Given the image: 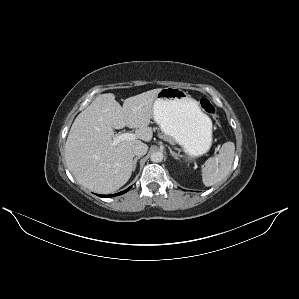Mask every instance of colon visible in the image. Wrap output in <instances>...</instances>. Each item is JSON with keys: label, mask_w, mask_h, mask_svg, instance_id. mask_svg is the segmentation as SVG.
<instances>
[{"label": "colon", "mask_w": 299, "mask_h": 299, "mask_svg": "<svg viewBox=\"0 0 299 299\" xmlns=\"http://www.w3.org/2000/svg\"><path fill=\"white\" fill-rule=\"evenodd\" d=\"M198 102L206 114H208L212 119L217 120L216 109L210 100L207 98H199Z\"/></svg>", "instance_id": "obj_1"}]
</instances>
